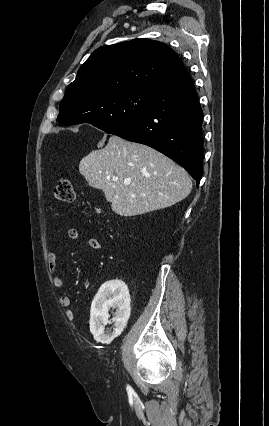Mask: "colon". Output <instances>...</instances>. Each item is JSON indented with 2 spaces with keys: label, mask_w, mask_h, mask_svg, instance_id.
<instances>
[{
  "label": "colon",
  "mask_w": 269,
  "mask_h": 426,
  "mask_svg": "<svg viewBox=\"0 0 269 426\" xmlns=\"http://www.w3.org/2000/svg\"><path fill=\"white\" fill-rule=\"evenodd\" d=\"M54 196L60 202H72L74 200L72 183L66 179L60 180L54 189Z\"/></svg>",
  "instance_id": "1"
}]
</instances>
